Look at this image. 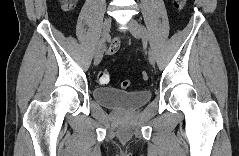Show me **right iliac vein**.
Returning <instances> with one entry per match:
<instances>
[{
	"instance_id": "obj_1",
	"label": "right iliac vein",
	"mask_w": 239,
	"mask_h": 156,
	"mask_svg": "<svg viewBox=\"0 0 239 156\" xmlns=\"http://www.w3.org/2000/svg\"><path fill=\"white\" fill-rule=\"evenodd\" d=\"M110 28H111V18L108 17L105 19L103 24V29H102V39L104 40V42L107 40L109 36ZM102 57H103V50L101 48L98 54L95 55L94 64L98 65L101 62Z\"/></svg>"
}]
</instances>
